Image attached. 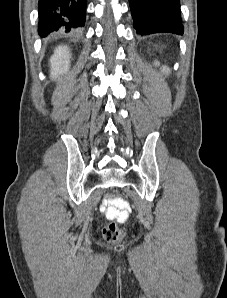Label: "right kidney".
I'll list each match as a JSON object with an SVG mask.
<instances>
[{
	"mask_svg": "<svg viewBox=\"0 0 227 298\" xmlns=\"http://www.w3.org/2000/svg\"><path fill=\"white\" fill-rule=\"evenodd\" d=\"M70 50L67 46H58L50 59L51 77L56 79L67 72L70 66Z\"/></svg>",
	"mask_w": 227,
	"mask_h": 298,
	"instance_id": "right-kidney-1",
	"label": "right kidney"
}]
</instances>
